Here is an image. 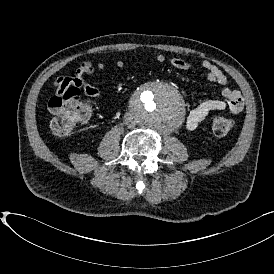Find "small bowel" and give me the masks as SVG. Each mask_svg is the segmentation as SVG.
I'll return each mask as SVG.
<instances>
[{"instance_id": "1", "label": "small bowel", "mask_w": 274, "mask_h": 274, "mask_svg": "<svg viewBox=\"0 0 274 274\" xmlns=\"http://www.w3.org/2000/svg\"><path fill=\"white\" fill-rule=\"evenodd\" d=\"M155 61L158 64L168 63L171 66L182 70H188L193 67V64L189 61L179 58L166 57L163 54L156 55ZM115 65L118 69H123L125 67V61L117 60ZM201 66L210 82L224 86L222 89L223 98L204 100L190 111L185 122L186 129L190 132L195 131L200 123L213 111L227 110L232 114H237L244 109L245 105L240 91L227 86V76L215 64L205 60L201 63ZM105 69L106 64L102 61L97 64H94L88 60L83 61L77 68L74 76H60L55 80L53 84V88L55 89L53 92L54 98L57 100L62 99L64 96V91L69 88L81 90L90 98H99L101 96V91L99 88L88 82L85 77L91 76L97 71H104Z\"/></svg>"}]
</instances>
